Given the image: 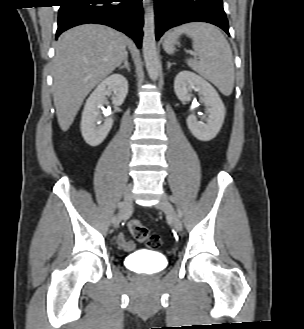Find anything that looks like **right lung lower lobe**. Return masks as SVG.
<instances>
[{
  "label": "right lung lower lobe",
  "mask_w": 304,
  "mask_h": 329,
  "mask_svg": "<svg viewBox=\"0 0 304 329\" xmlns=\"http://www.w3.org/2000/svg\"><path fill=\"white\" fill-rule=\"evenodd\" d=\"M119 1V2H114ZM142 0H61L56 38L65 30L86 23L110 26L142 43Z\"/></svg>",
  "instance_id": "right-lung-lower-lobe-1"
}]
</instances>
